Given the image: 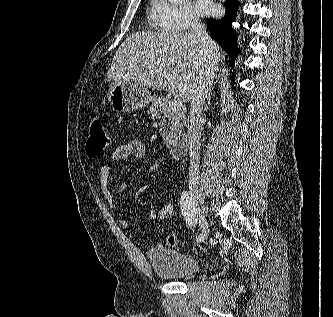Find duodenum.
<instances>
[{
	"instance_id": "obj_1",
	"label": "duodenum",
	"mask_w": 333,
	"mask_h": 317,
	"mask_svg": "<svg viewBox=\"0 0 333 317\" xmlns=\"http://www.w3.org/2000/svg\"><path fill=\"white\" fill-rule=\"evenodd\" d=\"M188 147V136L186 134H182L172 141L170 145V154L174 159L179 160L186 155Z\"/></svg>"
}]
</instances>
